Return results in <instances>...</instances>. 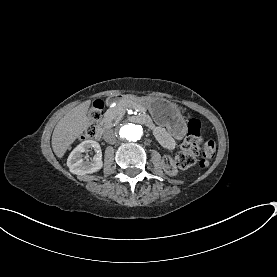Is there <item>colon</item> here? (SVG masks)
Listing matches in <instances>:
<instances>
[{"label":"colon","instance_id":"5ec220e1","mask_svg":"<svg viewBox=\"0 0 277 277\" xmlns=\"http://www.w3.org/2000/svg\"><path fill=\"white\" fill-rule=\"evenodd\" d=\"M104 114V103L96 102L90 110V120L87 121V127L84 137L87 140H93L99 132L97 122L101 120ZM205 128L202 122L192 116L187 124V136L183 142L182 149L177 153L175 164L180 169H188L194 166L197 158L200 156L204 163H208L214 157L216 144L210 137L204 136Z\"/></svg>","mask_w":277,"mask_h":277}]
</instances>
